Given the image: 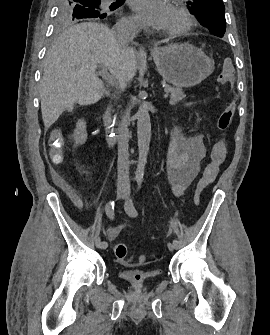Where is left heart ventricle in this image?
Instances as JSON below:
<instances>
[{
    "instance_id": "obj_1",
    "label": "left heart ventricle",
    "mask_w": 270,
    "mask_h": 335,
    "mask_svg": "<svg viewBox=\"0 0 270 335\" xmlns=\"http://www.w3.org/2000/svg\"><path fill=\"white\" fill-rule=\"evenodd\" d=\"M180 24H181V19H180L179 16L176 14V18H175V27L177 28ZM176 52H189V51L179 50V51H176Z\"/></svg>"
}]
</instances>
